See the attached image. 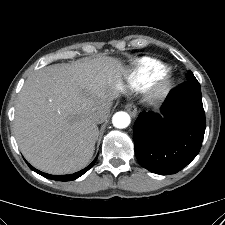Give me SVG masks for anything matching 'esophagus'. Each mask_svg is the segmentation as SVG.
<instances>
[{"instance_id": "esophagus-1", "label": "esophagus", "mask_w": 225, "mask_h": 225, "mask_svg": "<svg viewBox=\"0 0 225 225\" xmlns=\"http://www.w3.org/2000/svg\"><path fill=\"white\" fill-rule=\"evenodd\" d=\"M125 108L132 117L137 115V108L133 104L128 103Z\"/></svg>"}]
</instances>
